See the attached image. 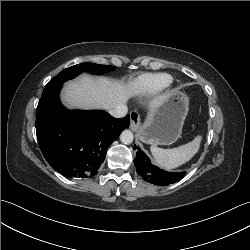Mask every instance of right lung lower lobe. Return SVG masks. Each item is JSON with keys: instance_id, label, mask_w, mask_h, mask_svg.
<instances>
[{"instance_id": "1", "label": "right lung lower lobe", "mask_w": 250, "mask_h": 250, "mask_svg": "<svg viewBox=\"0 0 250 250\" xmlns=\"http://www.w3.org/2000/svg\"><path fill=\"white\" fill-rule=\"evenodd\" d=\"M61 86L39 100L38 143L56 171L68 178H90L104 162L108 146L129 127L130 117L116 119L101 110H67L59 100Z\"/></svg>"}]
</instances>
